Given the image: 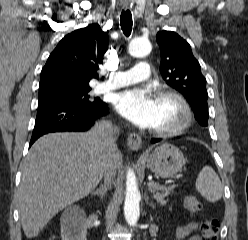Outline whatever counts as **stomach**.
I'll return each instance as SVG.
<instances>
[{"mask_svg":"<svg viewBox=\"0 0 248 240\" xmlns=\"http://www.w3.org/2000/svg\"><path fill=\"white\" fill-rule=\"evenodd\" d=\"M144 160L151 171L163 178L178 173L185 163L181 150L169 143H164L151 153H147Z\"/></svg>","mask_w":248,"mask_h":240,"instance_id":"stomach-1","label":"stomach"}]
</instances>
